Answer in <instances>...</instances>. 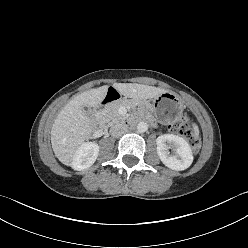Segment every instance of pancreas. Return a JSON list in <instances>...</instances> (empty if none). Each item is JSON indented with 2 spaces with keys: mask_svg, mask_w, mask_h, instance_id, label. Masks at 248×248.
Listing matches in <instances>:
<instances>
[{
  "mask_svg": "<svg viewBox=\"0 0 248 248\" xmlns=\"http://www.w3.org/2000/svg\"><path fill=\"white\" fill-rule=\"evenodd\" d=\"M126 102H121L120 104H116L113 106H109L104 110V120L108 124H113L118 121H122L126 119V116H122L119 114L118 109L121 106H126Z\"/></svg>",
  "mask_w": 248,
  "mask_h": 248,
  "instance_id": "obj_1",
  "label": "pancreas"
}]
</instances>
